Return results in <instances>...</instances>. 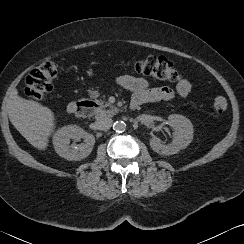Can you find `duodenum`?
Segmentation results:
<instances>
[{
	"mask_svg": "<svg viewBox=\"0 0 244 244\" xmlns=\"http://www.w3.org/2000/svg\"><path fill=\"white\" fill-rule=\"evenodd\" d=\"M132 108L135 109L133 105ZM95 109V105L91 101L76 100L72 101L68 105V110L73 113H78L80 115L86 116L90 114Z\"/></svg>",
	"mask_w": 244,
	"mask_h": 244,
	"instance_id": "410a0bca",
	"label": "duodenum"
}]
</instances>
